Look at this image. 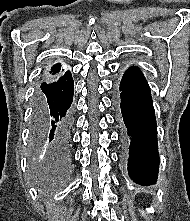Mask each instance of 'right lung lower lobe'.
<instances>
[{"instance_id":"obj_1","label":"right lung lower lobe","mask_w":190,"mask_h":221,"mask_svg":"<svg viewBox=\"0 0 190 221\" xmlns=\"http://www.w3.org/2000/svg\"><path fill=\"white\" fill-rule=\"evenodd\" d=\"M73 93L71 73L46 78L36 91L31 146L45 153V170L63 169L70 161Z\"/></svg>"}]
</instances>
